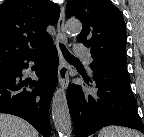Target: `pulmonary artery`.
Segmentation results:
<instances>
[{"instance_id": "e3ab8cb5", "label": "pulmonary artery", "mask_w": 144, "mask_h": 137, "mask_svg": "<svg viewBox=\"0 0 144 137\" xmlns=\"http://www.w3.org/2000/svg\"><path fill=\"white\" fill-rule=\"evenodd\" d=\"M75 54L83 57L88 64H90L93 61V58L91 57L89 51L86 48H84L81 44L76 45Z\"/></svg>"}]
</instances>
